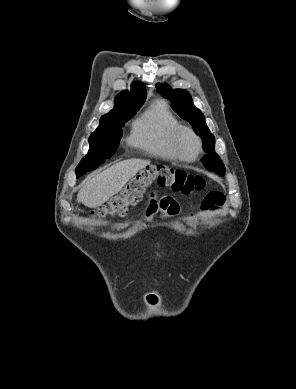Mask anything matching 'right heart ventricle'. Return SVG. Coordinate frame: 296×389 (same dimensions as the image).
<instances>
[{
  "instance_id": "e07e8e85",
  "label": "right heart ventricle",
  "mask_w": 296,
  "mask_h": 389,
  "mask_svg": "<svg viewBox=\"0 0 296 389\" xmlns=\"http://www.w3.org/2000/svg\"><path fill=\"white\" fill-rule=\"evenodd\" d=\"M180 125L169 106L156 101L132 122L128 143L152 157L175 161L171 136Z\"/></svg>"
}]
</instances>
